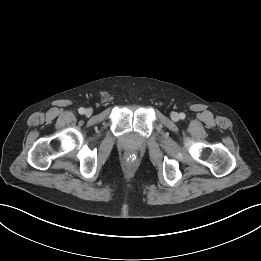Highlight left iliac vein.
Segmentation results:
<instances>
[{"label": "left iliac vein", "instance_id": "4c4485c4", "mask_svg": "<svg viewBox=\"0 0 261 261\" xmlns=\"http://www.w3.org/2000/svg\"><path fill=\"white\" fill-rule=\"evenodd\" d=\"M171 118H172L173 121H178V120H179V115H178V113L172 112V113H171Z\"/></svg>", "mask_w": 261, "mask_h": 261}]
</instances>
